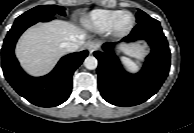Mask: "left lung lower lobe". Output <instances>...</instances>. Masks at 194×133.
<instances>
[{
	"mask_svg": "<svg viewBox=\"0 0 194 133\" xmlns=\"http://www.w3.org/2000/svg\"><path fill=\"white\" fill-rule=\"evenodd\" d=\"M138 39L148 42L151 53L137 74L124 71L113 52L115 44L105 43L104 52H94L99 61L98 88L102 97L110 104L127 107L145 102L159 90L169 73L170 50L160 23L149 17L139 22L122 41Z\"/></svg>",
	"mask_w": 194,
	"mask_h": 133,
	"instance_id": "obj_1",
	"label": "left lung lower lobe"
}]
</instances>
